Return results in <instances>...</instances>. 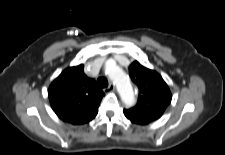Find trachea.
<instances>
[{
  "instance_id": "obj_1",
  "label": "trachea",
  "mask_w": 225,
  "mask_h": 155,
  "mask_svg": "<svg viewBox=\"0 0 225 155\" xmlns=\"http://www.w3.org/2000/svg\"><path fill=\"white\" fill-rule=\"evenodd\" d=\"M108 86V81L105 77H99L97 79V87L102 89V88H106Z\"/></svg>"
}]
</instances>
